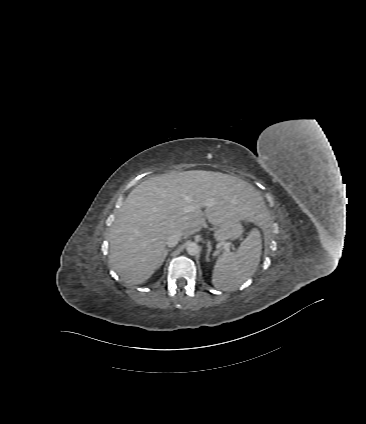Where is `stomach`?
I'll list each match as a JSON object with an SVG mask.
<instances>
[{"instance_id": "1", "label": "stomach", "mask_w": 366, "mask_h": 424, "mask_svg": "<svg viewBox=\"0 0 366 424\" xmlns=\"http://www.w3.org/2000/svg\"><path fill=\"white\" fill-rule=\"evenodd\" d=\"M243 232V227L239 220L232 223H225L218 226L215 231L214 237L216 241L224 243L228 240L237 239Z\"/></svg>"}]
</instances>
